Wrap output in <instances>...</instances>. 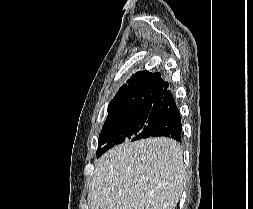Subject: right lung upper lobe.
Masks as SVG:
<instances>
[{"mask_svg": "<svg viewBox=\"0 0 253 209\" xmlns=\"http://www.w3.org/2000/svg\"><path fill=\"white\" fill-rule=\"evenodd\" d=\"M124 84L108 106L105 122L122 116L132 110L152 107L168 91L169 84L161 78V73L138 72Z\"/></svg>", "mask_w": 253, "mask_h": 209, "instance_id": "right-lung-upper-lobe-1", "label": "right lung upper lobe"}]
</instances>
